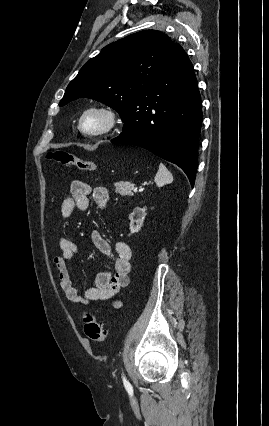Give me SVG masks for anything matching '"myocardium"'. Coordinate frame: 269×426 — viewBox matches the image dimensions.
<instances>
[{"mask_svg":"<svg viewBox=\"0 0 269 426\" xmlns=\"http://www.w3.org/2000/svg\"><path fill=\"white\" fill-rule=\"evenodd\" d=\"M89 115L100 116L103 119L102 125L96 129H86L84 121ZM119 121V115L114 109L103 105H94L88 107L82 112L78 121V127L86 136H103L115 130Z\"/></svg>","mask_w":269,"mask_h":426,"instance_id":"myocardium-1","label":"myocardium"}]
</instances>
